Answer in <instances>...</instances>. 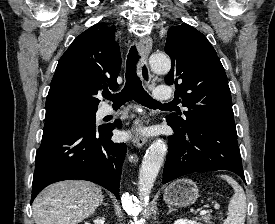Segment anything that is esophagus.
I'll return each instance as SVG.
<instances>
[{
	"label": "esophagus",
	"mask_w": 275,
	"mask_h": 224,
	"mask_svg": "<svg viewBox=\"0 0 275 224\" xmlns=\"http://www.w3.org/2000/svg\"><path fill=\"white\" fill-rule=\"evenodd\" d=\"M151 49H152V39L149 36H145L141 38L140 41L138 42V50L141 55V60L138 65V74L146 84H148L151 79V73L147 63L148 55L150 54ZM143 122L148 123L149 121H143L140 116H137L134 120V125L135 127L141 128L143 126ZM146 142H147V137L140 133H137L133 137V144L138 148L143 147L146 144Z\"/></svg>",
	"instance_id": "1"
}]
</instances>
